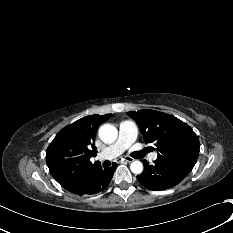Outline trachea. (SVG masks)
I'll return each instance as SVG.
<instances>
[{
    "label": "trachea",
    "instance_id": "3493384b",
    "mask_svg": "<svg viewBox=\"0 0 233 233\" xmlns=\"http://www.w3.org/2000/svg\"><path fill=\"white\" fill-rule=\"evenodd\" d=\"M150 152L149 149H144L140 152H137L138 157H143L146 153Z\"/></svg>",
    "mask_w": 233,
    "mask_h": 233
}]
</instances>
